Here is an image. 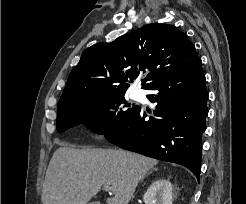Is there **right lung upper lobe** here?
<instances>
[{"instance_id":"obj_1","label":"right lung upper lobe","mask_w":246,"mask_h":204,"mask_svg":"<svg viewBox=\"0 0 246 204\" xmlns=\"http://www.w3.org/2000/svg\"><path fill=\"white\" fill-rule=\"evenodd\" d=\"M195 46L173 25L149 24L87 48L71 71L59 102L88 95L125 93L141 71L147 89L167 74L198 60ZM58 102V103H59Z\"/></svg>"}]
</instances>
